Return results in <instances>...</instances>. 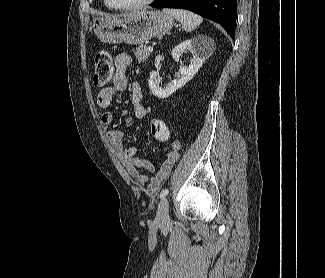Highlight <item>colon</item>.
Segmentation results:
<instances>
[{
  "label": "colon",
  "instance_id": "obj_1",
  "mask_svg": "<svg viewBox=\"0 0 325 278\" xmlns=\"http://www.w3.org/2000/svg\"><path fill=\"white\" fill-rule=\"evenodd\" d=\"M113 76V64L111 56L107 51H100L97 53L94 62V75L93 82L97 87L107 85ZM150 130L152 135L162 141L167 142L170 138L169 129L167 124L158 118L150 121Z\"/></svg>",
  "mask_w": 325,
  "mask_h": 278
}]
</instances>
